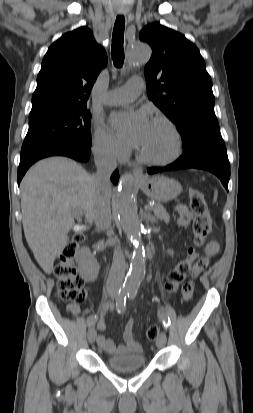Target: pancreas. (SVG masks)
Returning a JSON list of instances; mask_svg holds the SVG:
<instances>
[{
  "label": "pancreas",
  "instance_id": "cf45deb5",
  "mask_svg": "<svg viewBox=\"0 0 253 413\" xmlns=\"http://www.w3.org/2000/svg\"><path fill=\"white\" fill-rule=\"evenodd\" d=\"M153 210H154V214L157 217V219L163 220L165 222L170 221L169 214L166 212L165 208L161 204H155V206L153 207Z\"/></svg>",
  "mask_w": 253,
  "mask_h": 413
}]
</instances>
